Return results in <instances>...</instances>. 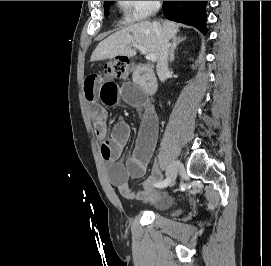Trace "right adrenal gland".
<instances>
[{
    "instance_id": "1",
    "label": "right adrenal gland",
    "mask_w": 271,
    "mask_h": 266,
    "mask_svg": "<svg viewBox=\"0 0 271 266\" xmlns=\"http://www.w3.org/2000/svg\"><path fill=\"white\" fill-rule=\"evenodd\" d=\"M186 37H174L172 40V44H171V49L169 52V62H173L174 61V51L177 48V46L179 45L180 42H182L183 40H185Z\"/></svg>"
}]
</instances>
